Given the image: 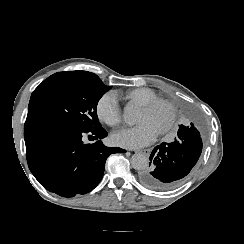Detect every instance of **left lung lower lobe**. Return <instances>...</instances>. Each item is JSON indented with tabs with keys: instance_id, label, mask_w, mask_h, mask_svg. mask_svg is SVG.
Segmentation results:
<instances>
[{
	"instance_id": "obj_1",
	"label": "left lung lower lobe",
	"mask_w": 244,
	"mask_h": 244,
	"mask_svg": "<svg viewBox=\"0 0 244 244\" xmlns=\"http://www.w3.org/2000/svg\"><path fill=\"white\" fill-rule=\"evenodd\" d=\"M200 125L196 118L191 123L180 125L178 139L161 143L150 155V168L139 173L145 186L156 190H172L178 187L197 163L202 151Z\"/></svg>"
}]
</instances>
